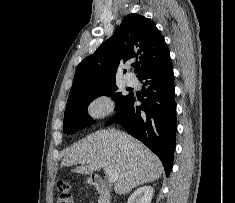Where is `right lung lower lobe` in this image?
<instances>
[{
	"instance_id": "obj_1",
	"label": "right lung lower lobe",
	"mask_w": 235,
	"mask_h": 203,
	"mask_svg": "<svg viewBox=\"0 0 235 203\" xmlns=\"http://www.w3.org/2000/svg\"><path fill=\"white\" fill-rule=\"evenodd\" d=\"M139 80H144V86H148L142 90V95L147 97L142 105L137 106L134 95L130 93L105 126L113 123L122 125L130 135L159 157L166 176H169L173 165L177 128L171 59L145 71Z\"/></svg>"
}]
</instances>
